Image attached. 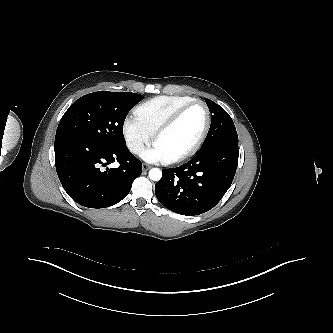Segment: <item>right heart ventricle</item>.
Instances as JSON below:
<instances>
[{
    "mask_svg": "<svg viewBox=\"0 0 333 333\" xmlns=\"http://www.w3.org/2000/svg\"><path fill=\"white\" fill-rule=\"evenodd\" d=\"M192 100L189 96H157L137 106L135 117L153 134L173 112Z\"/></svg>",
    "mask_w": 333,
    "mask_h": 333,
    "instance_id": "right-heart-ventricle-1",
    "label": "right heart ventricle"
}]
</instances>
